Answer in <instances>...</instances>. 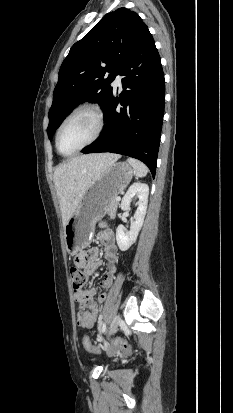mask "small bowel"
<instances>
[{
	"mask_svg": "<svg viewBox=\"0 0 233 413\" xmlns=\"http://www.w3.org/2000/svg\"><path fill=\"white\" fill-rule=\"evenodd\" d=\"M98 238L103 244V252L107 260V272L100 286L108 289L112 285L117 271L116 262L118 259V250L115 244L114 233L110 228L103 229ZM98 255L99 251L96 248L90 250L81 249L77 253L75 263L83 269L87 275H92L100 265ZM96 293L95 288L75 291L74 293V299L81 307L76 316L77 324L81 327L92 328L98 319L99 304L105 301L106 295H101L96 302L94 301Z\"/></svg>",
	"mask_w": 233,
	"mask_h": 413,
	"instance_id": "small-bowel-1",
	"label": "small bowel"
}]
</instances>
